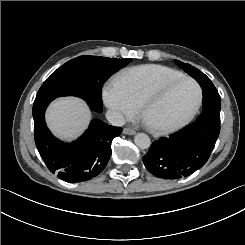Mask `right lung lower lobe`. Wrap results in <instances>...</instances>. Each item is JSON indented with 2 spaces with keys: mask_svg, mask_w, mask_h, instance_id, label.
I'll return each instance as SVG.
<instances>
[{
  "mask_svg": "<svg viewBox=\"0 0 245 245\" xmlns=\"http://www.w3.org/2000/svg\"><path fill=\"white\" fill-rule=\"evenodd\" d=\"M53 99L34 102V138L48 169L66 182L92 179L102 172L111 156V142L122 128L94 119L88 130L75 142L63 143L48 130L44 113Z\"/></svg>",
  "mask_w": 245,
  "mask_h": 245,
  "instance_id": "1",
  "label": "right lung lower lobe"
}]
</instances>
